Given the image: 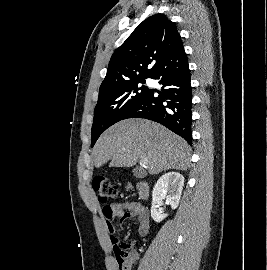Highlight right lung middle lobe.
Masks as SVG:
<instances>
[{"instance_id":"dd1d6c3e","label":"right lung middle lobe","mask_w":267,"mask_h":270,"mask_svg":"<svg viewBox=\"0 0 267 270\" xmlns=\"http://www.w3.org/2000/svg\"><path fill=\"white\" fill-rule=\"evenodd\" d=\"M139 83H145V78L127 81L99 91L91 130V147L107 128L124 119L145 96L148 87H139Z\"/></svg>"}]
</instances>
